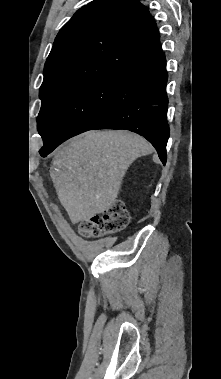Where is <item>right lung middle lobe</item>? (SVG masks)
Listing matches in <instances>:
<instances>
[{
  "instance_id": "right-lung-middle-lobe-1",
  "label": "right lung middle lobe",
  "mask_w": 221,
  "mask_h": 379,
  "mask_svg": "<svg viewBox=\"0 0 221 379\" xmlns=\"http://www.w3.org/2000/svg\"><path fill=\"white\" fill-rule=\"evenodd\" d=\"M119 80V75H102L40 97L37 127L42 149L92 129L108 111Z\"/></svg>"
}]
</instances>
